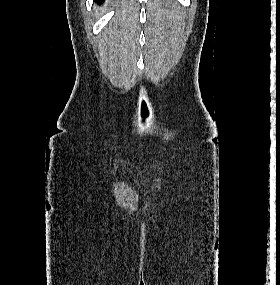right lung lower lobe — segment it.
Masks as SVG:
<instances>
[{"instance_id":"obj_1","label":"right lung lower lobe","mask_w":280,"mask_h":285,"mask_svg":"<svg viewBox=\"0 0 280 285\" xmlns=\"http://www.w3.org/2000/svg\"><path fill=\"white\" fill-rule=\"evenodd\" d=\"M96 2L103 3V0H96Z\"/></svg>"}]
</instances>
